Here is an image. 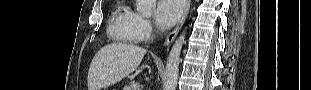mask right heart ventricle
I'll return each instance as SVG.
<instances>
[{"label":"right heart ventricle","instance_id":"e07e8e85","mask_svg":"<svg viewBox=\"0 0 311 90\" xmlns=\"http://www.w3.org/2000/svg\"><path fill=\"white\" fill-rule=\"evenodd\" d=\"M108 34L114 40L123 43H135L138 37L133 25V12L123 6L117 7L111 16Z\"/></svg>","mask_w":311,"mask_h":90}]
</instances>
